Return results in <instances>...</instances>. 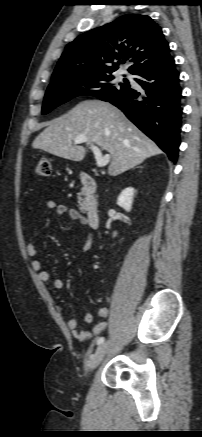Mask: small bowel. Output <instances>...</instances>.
<instances>
[{"label": "small bowel", "mask_w": 202, "mask_h": 437, "mask_svg": "<svg viewBox=\"0 0 202 437\" xmlns=\"http://www.w3.org/2000/svg\"><path fill=\"white\" fill-rule=\"evenodd\" d=\"M46 207L49 210L55 211V213L59 216L67 215L68 218L74 221L80 222L82 225L87 226L86 217H84L79 211L74 208H70L64 204H57L53 200H48L46 202ZM92 236L88 234L87 240L84 244L83 250L88 251L92 245ZM27 252L31 257H36L38 255V250L33 242H29L27 244ZM31 267L35 272L37 278L43 283H49L51 281L50 275L47 271L43 269V264L40 260L34 259L31 262ZM52 288L55 290H59L63 288V280L60 278H56L51 281ZM109 315V311L106 307H102L98 309L97 316L102 319L99 323H97L91 331H85L79 328V322L77 318H69L67 321V326L70 329L72 335L81 341L92 340L97 338L102 331L106 330L108 327V323L105 321ZM83 320L85 323H92L94 320V315L91 312H86L84 314Z\"/></svg>", "instance_id": "obj_1"}]
</instances>
